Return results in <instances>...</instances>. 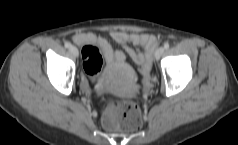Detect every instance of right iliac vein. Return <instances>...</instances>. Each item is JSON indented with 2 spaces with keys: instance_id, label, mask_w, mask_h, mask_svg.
<instances>
[{
  "instance_id": "63e3f726",
  "label": "right iliac vein",
  "mask_w": 238,
  "mask_h": 145,
  "mask_svg": "<svg viewBox=\"0 0 238 145\" xmlns=\"http://www.w3.org/2000/svg\"><path fill=\"white\" fill-rule=\"evenodd\" d=\"M70 52H71V54L74 56V57H78V55H79V52H78V49H77V47H75V46H70Z\"/></svg>"
}]
</instances>
